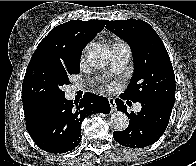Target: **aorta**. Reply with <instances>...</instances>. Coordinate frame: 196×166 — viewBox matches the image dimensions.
I'll return each instance as SVG.
<instances>
[{"label":"aorta","instance_id":"aorta-1","mask_svg":"<svg viewBox=\"0 0 196 166\" xmlns=\"http://www.w3.org/2000/svg\"><path fill=\"white\" fill-rule=\"evenodd\" d=\"M110 59V51L104 45H93L87 51V60L93 67L103 68L110 62ZM110 122L116 131H124L129 125L127 115L121 111L113 113Z\"/></svg>","mask_w":196,"mask_h":166}]
</instances>
